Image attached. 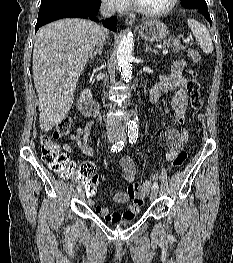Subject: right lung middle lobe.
<instances>
[{
    "label": "right lung middle lobe",
    "mask_w": 233,
    "mask_h": 263,
    "mask_svg": "<svg viewBox=\"0 0 233 263\" xmlns=\"http://www.w3.org/2000/svg\"><path fill=\"white\" fill-rule=\"evenodd\" d=\"M82 0H41L37 22H43L51 18L70 14L76 9Z\"/></svg>",
    "instance_id": "dd1d6c3e"
}]
</instances>
